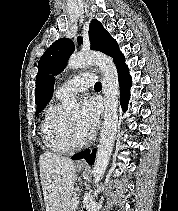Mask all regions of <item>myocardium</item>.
Masks as SVG:
<instances>
[{
	"label": "myocardium",
	"mask_w": 178,
	"mask_h": 211,
	"mask_svg": "<svg viewBox=\"0 0 178 211\" xmlns=\"http://www.w3.org/2000/svg\"><path fill=\"white\" fill-rule=\"evenodd\" d=\"M65 141L68 147L72 150H78L86 147L90 141L91 137L88 136L85 140L82 142H79L76 140L73 128L69 122L68 119L65 120Z\"/></svg>",
	"instance_id": "1"
}]
</instances>
